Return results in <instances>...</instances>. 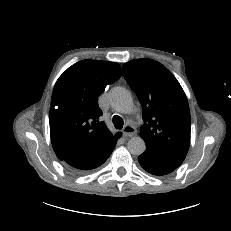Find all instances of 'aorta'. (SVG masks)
<instances>
[{
    "mask_svg": "<svg viewBox=\"0 0 231 231\" xmlns=\"http://www.w3.org/2000/svg\"><path fill=\"white\" fill-rule=\"evenodd\" d=\"M110 102L120 113L128 114L133 109L132 96L125 88L115 87L110 93ZM127 148L131 154L138 156L144 153L146 144L140 136H134L128 141Z\"/></svg>",
    "mask_w": 231,
    "mask_h": 231,
    "instance_id": "aorta-1",
    "label": "aorta"
}]
</instances>
